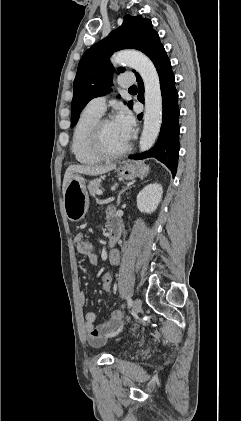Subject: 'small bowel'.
<instances>
[{
  "label": "small bowel",
  "mask_w": 241,
  "mask_h": 421,
  "mask_svg": "<svg viewBox=\"0 0 241 421\" xmlns=\"http://www.w3.org/2000/svg\"><path fill=\"white\" fill-rule=\"evenodd\" d=\"M111 214V213H110ZM74 243L78 247V245L84 241V235L82 233H78L74 237ZM85 255L89 262L92 265H96L98 263V257L95 253L90 252ZM108 260L110 264L116 265L120 261V253L118 250L114 249L109 252ZM79 300L84 303L85 302V295L83 292L79 293ZM123 315L122 313L116 311L113 312L111 317L103 321L102 323L98 324L97 326L94 325L96 320V315L94 312H87L85 314V320H84V328L87 335V340L91 346L94 347H100L102 346L108 335L113 333L117 327L122 323L123 321Z\"/></svg>",
  "instance_id": "1"
}]
</instances>
